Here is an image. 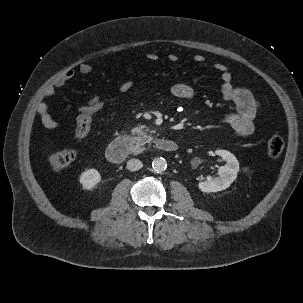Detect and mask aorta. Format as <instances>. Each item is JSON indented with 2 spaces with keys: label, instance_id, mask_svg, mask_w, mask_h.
Here are the masks:
<instances>
[{
  "label": "aorta",
  "instance_id": "1",
  "mask_svg": "<svg viewBox=\"0 0 303 303\" xmlns=\"http://www.w3.org/2000/svg\"><path fill=\"white\" fill-rule=\"evenodd\" d=\"M152 168L157 173L164 172L167 168V161L162 157L155 158L152 162Z\"/></svg>",
  "mask_w": 303,
  "mask_h": 303
}]
</instances>
